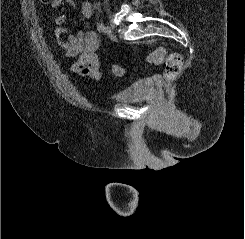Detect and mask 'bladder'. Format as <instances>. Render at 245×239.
I'll return each instance as SVG.
<instances>
[{"instance_id":"31cf9c89","label":"bladder","mask_w":245,"mask_h":239,"mask_svg":"<svg viewBox=\"0 0 245 239\" xmlns=\"http://www.w3.org/2000/svg\"><path fill=\"white\" fill-rule=\"evenodd\" d=\"M154 87L155 80L153 78L137 80L123 88L117 94L116 98L118 101L125 104L134 103L137 100L152 94Z\"/></svg>"}]
</instances>
